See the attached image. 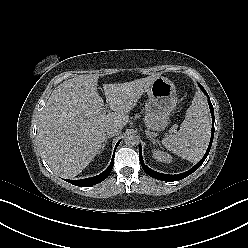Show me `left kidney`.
I'll use <instances>...</instances> for the list:
<instances>
[{
	"label": "left kidney",
	"mask_w": 248,
	"mask_h": 248,
	"mask_svg": "<svg viewBox=\"0 0 248 248\" xmlns=\"http://www.w3.org/2000/svg\"><path fill=\"white\" fill-rule=\"evenodd\" d=\"M153 157L157 160V161H161V162H165V163H170L172 162V157L165 153L162 152L160 150H155L153 151Z\"/></svg>",
	"instance_id": "5707ae66"
}]
</instances>
